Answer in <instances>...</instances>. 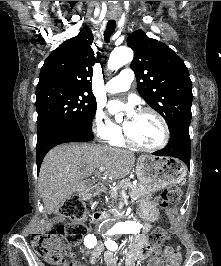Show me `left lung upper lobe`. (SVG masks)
<instances>
[{
	"mask_svg": "<svg viewBox=\"0 0 221 266\" xmlns=\"http://www.w3.org/2000/svg\"><path fill=\"white\" fill-rule=\"evenodd\" d=\"M127 44L134 51L131 68L144 100L167 122L170 132L189 128L192 82L184 61L166 44L137 30Z\"/></svg>",
	"mask_w": 221,
	"mask_h": 266,
	"instance_id": "left-lung-upper-lobe-1",
	"label": "left lung upper lobe"
}]
</instances>
